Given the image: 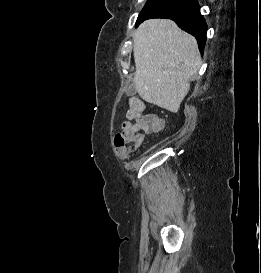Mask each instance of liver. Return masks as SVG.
I'll return each instance as SVG.
<instances>
[{
    "mask_svg": "<svg viewBox=\"0 0 261 273\" xmlns=\"http://www.w3.org/2000/svg\"><path fill=\"white\" fill-rule=\"evenodd\" d=\"M133 84L146 102L176 113L202 65L196 39L171 20L149 19L135 31Z\"/></svg>",
    "mask_w": 261,
    "mask_h": 273,
    "instance_id": "liver-1",
    "label": "liver"
}]
</instances>
